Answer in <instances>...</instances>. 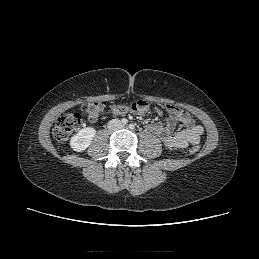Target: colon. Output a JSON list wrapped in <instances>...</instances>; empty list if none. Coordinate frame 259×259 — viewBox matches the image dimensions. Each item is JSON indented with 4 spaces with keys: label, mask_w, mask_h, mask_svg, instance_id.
<instances>
[{
    "label": "colon",
    "mask_w": 259,
    "mask_h": 259,
    "mask_svg": "<svg viewBox=\"0 0 259 259\" xmlns=\"http://www.w3.org/2000/svg\"><path fill=\"white\" fill-rule=\"evenodd\" d=\"M149 105L144 100H138L133 102L129 106L126 105H114L110 107V111L114 115H124L129 111L143 112L147 111ZM108 105L105 102H92L86 103L82 106V110L87 114V118L90 122H97L102 115L107 111ZM82 125V118L79 113L66 112L60 114L55 122L53 129V136L59 142H65L72 132L79 129ZM191 154H196L199 151V146L194 145L190 148Z\"/></svg>",
    "instance_id": "obj_1"
}]
</instances>
